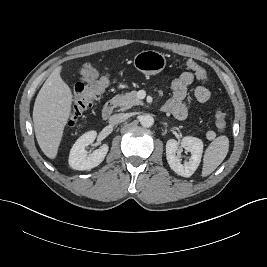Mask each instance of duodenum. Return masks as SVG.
<instances>
[{"label": "duodenum", "instance_id": "obj_1", "mask_svg": "<svg viewBox=\"0 0 267 267\" xmlns=\"http://www.w3.org/2000/svg\"><path fill=\"white\" fill-rule=\"evenodd\" d=\"M116 107V103L113 100L107 101L102 108V117L108 119L113 114Z\"/></svg>", "mask_w": 267, "mask_h": 267}]
</instances>
